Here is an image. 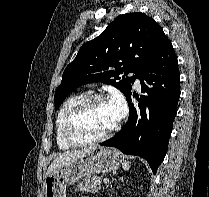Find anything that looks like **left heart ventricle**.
Here are the masks:
<instances>
[{
  "label": "left heart ventricle",
  "mask_w": 209,
  "mask_h": 197,
  "mask_svg": "<svg viewBox=\"0 0 209 197\" xmlns=\"http://www.w3.org/2000/svg\"><path fill=\"white\" fill-rule=\"evenodd\" d=\"M114 124L115 121L108 109L107 102H97L78 115L74 134L79 138H93L102 135Z\"/></svg>",
  "instance_id": "b2bd125f"
}]
</instances>
